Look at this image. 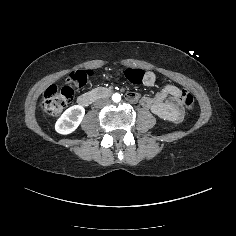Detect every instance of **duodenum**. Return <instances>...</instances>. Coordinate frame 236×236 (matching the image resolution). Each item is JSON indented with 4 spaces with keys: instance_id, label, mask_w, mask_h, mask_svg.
<instances>
[{
    "instance_id": "410a0bca",
    "label": "duodenum",
    "mask_w": 236,
    "mask_h": 236,
    "mask_svg": "<svg viewBox=\"0 0 236 236\" xmlns=\"http://www.w3.org/2000/svg\"><path fill=\"white\" fill-rule=\"evenodd\" d=\"M169 93L172 95L171 100L163 102L161 98ZM110 94L111 91L106 88H97L81 94L78 97L77 102L79 105L86 107L100 98L108 97ZM127 99L131 102H135L138 97L136 94L129 93L127 94ZM141 104L143 107L150 109L154 114L170 121H177L182 115L181 104L178 96L169 90L162 91L157 94L155 98L144 99Z\"/></svg>"
}]
</instances>
